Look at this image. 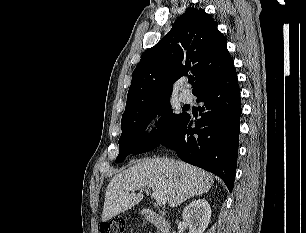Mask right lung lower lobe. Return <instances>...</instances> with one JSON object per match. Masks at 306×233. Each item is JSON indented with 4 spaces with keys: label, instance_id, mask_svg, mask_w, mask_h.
Instances as JSON below:
<instances>
[{
    "label": "right lung lower lobe",
    "instance_id": "obj_1",
    "mask_svg": "<svg viewBox=\"0 0 306 233\" xmlns=\"http://www.w3.org/2000/svg\"><path fill=\"white\" fill-rule=\"evenodd\" d=\"M204 105L192 128L186 114L178 129L163 143L185 162L219 176L231 192L234 186L240 132L241 102L236 70L197 96Z\"/></svg>",
    "mask_w": 306,
    "mask_h": 233
}]
</instances>
